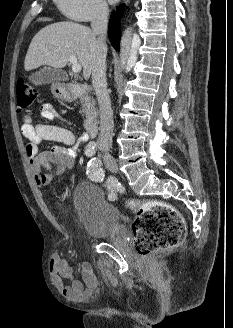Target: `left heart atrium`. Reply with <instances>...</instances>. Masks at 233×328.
I'll use <instances>...</instances> for the list:
<instances>
[{"label":"left heart atrium","mask_w":233,"mask_h":328,"mask_svg":"<svg viewBox=\"0 0 233 328\" xmlns=\"http://www.w3.org/2000/svg\"><path fill=\"white\" fill-rule=\"evenodd\" d=\"M118 0H109L110 3H116Z\"/></svg>","instance_id":"obj_1"}]
</instances>
